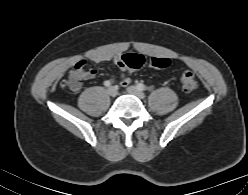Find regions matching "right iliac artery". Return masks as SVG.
I'll use <instances>...</instances> for the list:
<instances>
[{"instance_id":"82829eb1","label":"right iliac artery","mask_w":248,"mask_h":195,"mask_svg":"<svg viewBox=\"0 0 248 195\" xmlns=\"http://www.w3.org/2000/svg\"><path fill=\"white\" fill-rule=\"evenodd\" d=\"M104 85H105L106 87H109V86L111 85V83H110V81L107 80V81L104 82Z\"/></svg>"}]
</instances>
